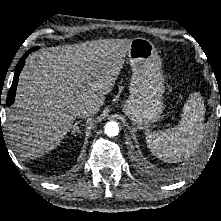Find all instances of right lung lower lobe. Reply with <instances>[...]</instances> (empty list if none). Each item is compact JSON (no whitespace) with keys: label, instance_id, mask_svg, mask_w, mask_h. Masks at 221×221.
I'll list each match as a JSON object with an SVG mask.
<instances>
[{"label":"right lung lower lobe","instance_id":"98d812e1","mask_svg":"<svg viewBox=\"0 0 221 221\" xmlns=\"http://www.w3.org/2000/svg\"><path fill=\"white\" fill-rule=\"evenodd\" d=\"M39 49V47H34V48H31L29 49L23 56L22 58L19 60L17 66H16V72L14 74V78H13V83H12V86L9 90V93H8V97H7V105H11L13 104L14 102V97H15V93H16V87H17V83H18V79H19V74H20V71L22 70L23 66H24V59L28 56V54L32 51H35Z\"/></svg>","mask_w":221,"mask_h":221}]
</instances>
